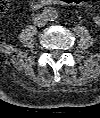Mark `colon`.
<instances>
[{
  "mask_svg": "<svg viewBox=\"0 0 100 118\" xmlns=\"http://www.w3.org/2000/svg\"><path fill=\"white\" fill-rule=\"evenodd\" d=\"M8 1L9 0H0V6H1V9L2 10H5L6 7H7V4H8ZM68 4H75L77 3L78 1L81 2V3H85L87 2V0H66Z\"/></svg>",
  "mask_w": 100,
  "mask_h": 118,
  "instance_id": "obj_1",
  "label": "colon"
}]
</instances>
